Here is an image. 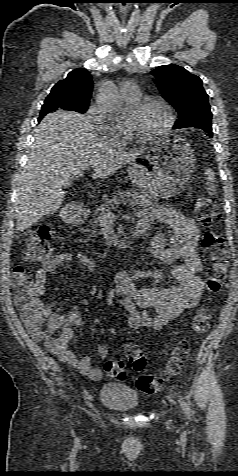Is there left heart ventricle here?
I'll return each instance as SVG.
<instances>
[{"label":"left heart ventricle","instance_id":"1","mask_svg":"<svg viewBox=\"0 0 238 476\" xmlns=\"http://www.w3.org/2000/svg\"><path fill=\"white\" fill-rule=\"evenodd\" d=\"M166 113L162 107L151 105L136 113L133 109L125 118V123L142 135L153 134L162 129L166 123Z\"/></svg>","mask_w":238,"mask_h":476}]
</instances>
